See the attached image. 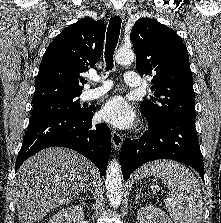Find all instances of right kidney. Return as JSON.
<instances>
[{"mask_svg":"<svg viewBox=\"0 0 221 223\" xmlns=\"http://www.w3.org/2000/svg\"><path fill=\"white\" fill-rule=\"evenodd\" d=\"M83 217V207L81 205H75L60 210L53 215L48 223H71V221L81 223L80 221Z\"/></svg>","mask_w":221,"mask_h":223,"instance_id":"1","label":"right kidney"}]
</instances>
